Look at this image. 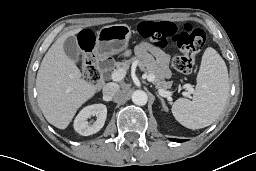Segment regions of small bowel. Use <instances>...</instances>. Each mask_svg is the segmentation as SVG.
<instances>
[{
	"mask_svg": "<svg viewBox=\"0 0 256 171\" xmlns=\"http://www.w3.org/2000/svg\"><path fill=\"white\" fill-rule=\"evenodd\" d=\"M135 52L141 58L147 57L148 54L153 55L157 65L160 68L162 75L163 76L169 75V68H168L169 56L164 51L158 48H155L147 43H142L136 47Z\"/></svg>",
	"mask_w": 256,
	"mask_h": 171,
	"instance_id": "1",
	"label": "small bowel"
}]
</instances>
